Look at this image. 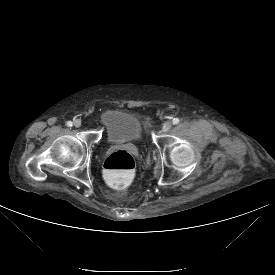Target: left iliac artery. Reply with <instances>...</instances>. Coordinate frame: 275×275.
I'll return each mask as SVG.
<instances>
[{
  "label": "left iliac artery",
  "mask_w": 275,
  "mask_h": 275,
  "mask_svg": "<svg viewBox=\"0 0 275 275\" xmlns=\"http://www.w3.org/2000/svg\"><path fill=\"white\" fill-rule=\"evenodd\" d=\"M179 121H180L179 118H174V119L172 120V123H173V124H178Z\"/></svg>",
  "instance_id": "44dca946"
}]
</instances>
